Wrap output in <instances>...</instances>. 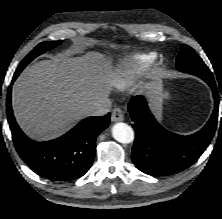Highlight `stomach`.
<instances>
[{
  "instance_id": "0dacf381",
  "label": "stomach",
  "mask_w": 222,
  "mask_h": 219,
  "mask_svg": "<svg viewBox=\"0 0 222 219\" xmlns=\"http://www.w3.org/2000/svg\"><path fill=\"white\" fill-rule=\"evenodd\" d=\"M152 107L156 109L163 101L170 98V93L161 85L154 88L149 94Z\"/></svg>"
}]
</instances>
